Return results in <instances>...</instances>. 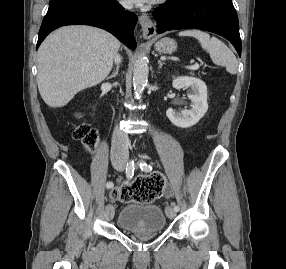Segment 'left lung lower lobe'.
I'll return each instance as SVG.
<instances>
[{
	"instance_id": "left-lung-lower-lobe-1",
	"label": "left lung lower lobe",
	"mask_w": 286,
	"mask_h": 269,
	"mask_svg": "<svg viewBox=\"0 0 286 269\" xmlns=\"http://www.w3.org/2000/svg\"><path fill=\"white\" fill-rule=\"evenodd\" d=\"M157 32L201 29L228 39L241 56V39L232 0H167L154 10Z\"/></svg>"
}]
</instances>
